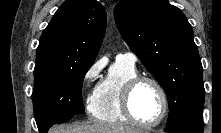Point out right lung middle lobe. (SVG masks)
I'll list each match as a JSON object with an SVG mask.
<instances>
[{"mask_svg":"<svg viewBox=\"0 0 221 133\" xmlns=\"http://www.w3.org/2000/svg\"><path fill=\"white\" fill-rule=\"evenodd\" d=\"M93 62L34 71V114L38 129L84 113L81 88Z\"/></svg>","mask_w":221,"mask_h":133,"instance_id":"right-lung-middle-lobe-1","label":"right lung middle lobe"}]
</instances>
